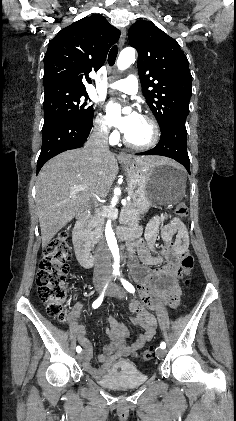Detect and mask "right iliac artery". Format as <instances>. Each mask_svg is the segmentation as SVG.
Listing matches in <instances>:
<instances>
[{"mask_svg": "<svg viewBox=\"0 0 236 421\" xmlns=\"http://www.w3.org/2000/svg\"><path fill=\"white\" fill-rule=\"evenodd\" d=\"M113 275H114V273H113ZM107 286H108V283H106V285L104 286V289H103V291H102L101 295L99 296V298L93 302L92 307H93L94 309L98 308V307L101 305V303H102V301H103L104 293H105V290H106ZM81 350H82V349H81V347H80V346H77V347H76V351H77L78 353H80V352H81Z\"/></svg>", "mask_w": 236, "mask_h": 421, "instance_id": "obj_1", "label": "right iliac artery"}]
</instances>
